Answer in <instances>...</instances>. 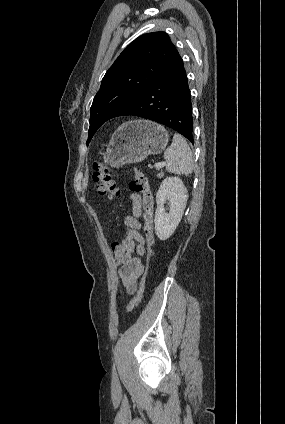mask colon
Here are the masks:
<instances>
[{
    "mask_svg": "<svg viewBox=\"0 0 285 424\" xmlns=\"http://www.w3.org/2000/svg\"><path fill=\"white\" fill-rule=\"evenodd\" d=\"M104 152L98 154L97 160L93 164V180L97 185V191L101 195L109 198L117 197L120 194L116 183L111 178L108 167L103 163ZM130 190L135 193H140L143 199V207L145 210V234L147 237L148 261L153 255L152 247L154 245V236L152 228V211L153 197L148 184V179L138 170H133V179L130 183ZM133 242L129 238H125L120 242H114L111 245V253L117 264L131 257L133 253ZM144 291V278H142L137 294L133 297L127 306V312H132L141 302Z\"/></svg>",
    "mask_w": 285,
    "mask_h": 424,
    "instance_id": "1",
    "label": "colon"
}]
</instances>
